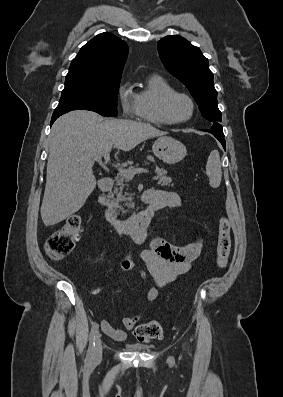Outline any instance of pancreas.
Wrapping results in <instances>:
<instances>
[{"mask_svg": "<svg viewBox=\"0 0 283 397\" xmlns=\"http://www.w3.org/2000/svg\"><path fill=\"white\" fill-rule=\"evenodd\" d=\"M134 167L131 166L129 169H133ZM156 176L154 177L155 180H158V184L161 186H170L172 179L171 177L167 176V171L164 170L163 168H159L156 166L155 169ZM128 182V179L120 174L116 176V187L114 189V193L116 194V198L114 199V202L116 204V207L119 211L122 212V214H125L126 211L119 206V202L121 201H128V203H125L128 207L132 208L134 207V203H132V197L129 196L127 192H125V184Z\"/></svg>", "mask_w": 283, "mask_h": 397, "instance_id": "pancreas-1", "label": "pancreas"}]
</instances>
